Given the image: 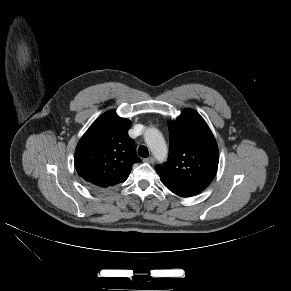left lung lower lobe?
I'll return each mask as SVG.
<instances>
[{"instance_id": "left-lung-lower-lobe-1", "label": "left lung lower lobe", "mask_w": 291, "mask_h": 291, "mask_svg": "<svg viewBox=\"0 0 291 291\" xmlns=\"http://www.w3.org/2000/svg\"><path fill=\"white\" fill-rule=\"evenodd\" d=\"M161 182L174 194L179 195L181 197H191L198 194L200 191L195 190L193 188L187 187L180 183L174 182L170 179L160 176Z\"/></svg>"}]
</instances>
